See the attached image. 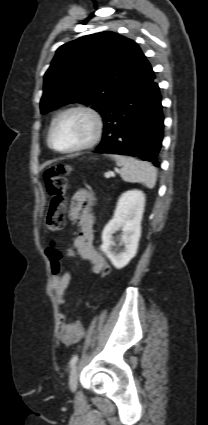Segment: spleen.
<instances>
[{"label": "spleen", "instance_id": "obj_1", "mask_svg": "<svg viewBox=\"0 0 208 425\" xmlns=\"http://www.w3.org/2000/svg\"><path fill=\"white\" fill-rule=\"evenodd\" d=\"M113 158L122 166L120 175L124 181L142 183L150 189L155 186L157 171L152 164L121 155H113Z\"/></svg>", "mask_w": 208, "mask_h": 425}]
</instances>
